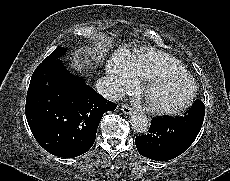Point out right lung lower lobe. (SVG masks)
Segmentation results:
<instances>
[{"instance_id":"98d812e1","label":"right lung lower lobe","mask_w":230,"mask_h":181,"mask_svg":"<svg viewBox=\"0 0 230 181\" xmlns=\"http://www.w3.org/2000/svg\"><path fill=\"white\" fill-rule=\"evenodd\" d=\"M116 106L71 75L57 58L35 69L25 114L33 136L46 151L72 158L92 147L104 112Z\"/></svg>"}]
</instances>
